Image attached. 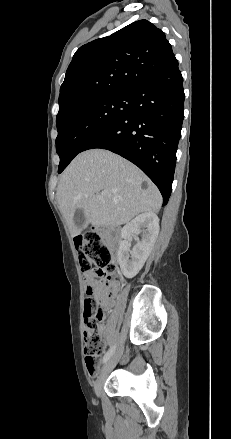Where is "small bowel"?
I'll return each mask as SVG.
<instances>
[{
  "mask_svg": "<svg viewBox=\"0 0 231 439\" xmlns=\"http://www.w3.org/2000/svg\"><path fill=\"white\" fill-rule=\"evenodd\" d=\"M84 281L86 284V292L92 291L94 294H96L100 299L104 306H108L110 304V298L108 292H102L98 281L95 279L94 275L92 273H85L84 275Z\"/></svg>",
  "mask_w": 231,
  "mask_h": 439,
  "instance_id": "1",
  "label": "small bowel"
}]
</instances>
